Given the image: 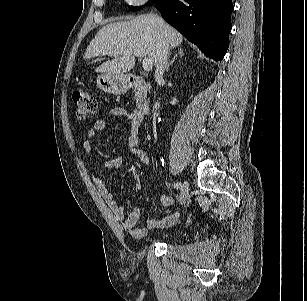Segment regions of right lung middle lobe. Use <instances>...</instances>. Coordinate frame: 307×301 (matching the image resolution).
Segmentation results:
<instances>
[{
  "mask_svg": "<svg viewBox=\"0 0 307 301\" xmlns=\"http://www.w3.org/2000/svg\"><path fill=\"white\" fill-rule=\"evenodd\" d=\"M157 1H159V0H152V3H155V2H157ZM142 7H143V6H141V7L138 8L137 10H140ZM131 9H132V10H136L134 7H131Z\"/></svg>",
  "mask_w": 307,
  "mask_h": 301,
  "instance_id": "right-lung-middle-lobe-1",
  "label": "right lung middle lobe"
}]
</instances>
